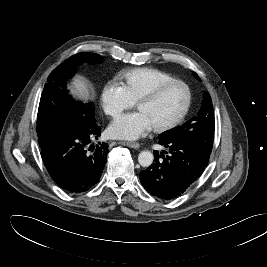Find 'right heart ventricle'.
I'll return each mask as SVG.
<instances>
[{
  "mask_svg": "<svg viewBox=\"0 0 267 267\" xmlns=\"http://www.w3.org/2000/svg\"><path fill=\"white\" fill-rule=\"evenodd\" d=\"M122 86L129 98L136 102L137 99L157 85L172 80L174 77L155 68H134L123 71L119 75Z\"/></svg>",
  "mask_w": 267,
  "mask_h": 267,
  "instance_id": "1",
  "label": "right heart ventricle"
}]
</instances>
